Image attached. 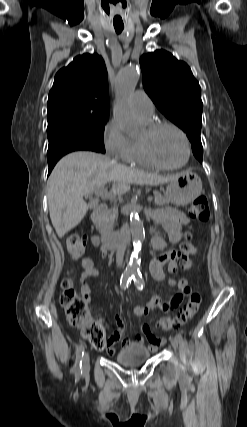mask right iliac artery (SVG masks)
Wrapping results in <instances>:
<instances>
[{
  "label": "right iliac artery",
  "instance_id": "82829eb1",
  "mask_svg": "<svg viewBox=\"0 0 247 427\" xmlns=\"http://www.w3.org/2000/svg\"><path fill=\"white\" fill-rule=\"evenodd\" d=\"M132 278H133V275L131 274H128V273L123 274L120 279V287L124 290L128 288V285L131 282ZM83 355H84V343H80L76 351V361L73 368L76 379H79L82 373L81 367H82Z\"/></svg>",
  "mask_w": 247,
  "mask_h": 427
}]
</instances>
